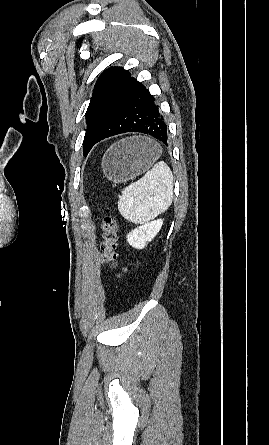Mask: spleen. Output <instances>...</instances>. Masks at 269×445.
<instances>
[{"label": "spleen", "instance_id": "obj_1", "mask_svg": "<svg viewBox=\"0 0 269 445\" xmlns=\"http://www.w3.org/2000/svg\"><path fill=\"white\" fill-rule=\"evenodd\" d=\"M172 200L173 174L169 166L160 161L122 190L118 210L126 220L146 224L165 212Z\"/></svg>", "mask_w": 269, "mask_h": 445}]
</instances>
